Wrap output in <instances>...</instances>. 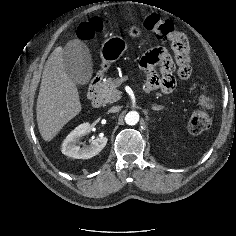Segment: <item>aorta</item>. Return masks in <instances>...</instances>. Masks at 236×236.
Instances as JSON below:
<instances>
[{"label":"aorta","mask_w":236,"mask_h":236,"mask_svg":"<svg viewBox=\"0 0 236 236\" xmlns=\"http://www.w3.org/2000/svg\"><path fill=\"white\" fill-rule=\"evenodd\" d=\"M139 121V114L136 111H130L125 116V122L128 125H136Z\"/></svg>","instance_id":"aorta-1"}]
</instances>
